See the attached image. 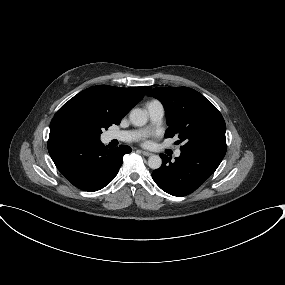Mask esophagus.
Returning a JSON list of instances; mask_svg holds the SVG:
<instances>
[{
    "mask_svg": "<svg viewBox=\"0 0 285 285\" xmlns=\"http://www.w3.org/2000/svg\"><path fill=\"white\" fill-rule=\"evenodd\" d=\"M141 153L144 155V156H151L152 153L149 152V151H144V150H141Z\"/></svg>",
    "mask_w": 285,
    "mask_h": 285,
    "instance_id": "obj_1",
    "label": "esophagus"
}]
</instances>
